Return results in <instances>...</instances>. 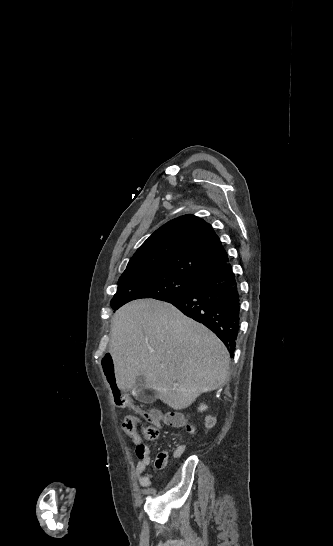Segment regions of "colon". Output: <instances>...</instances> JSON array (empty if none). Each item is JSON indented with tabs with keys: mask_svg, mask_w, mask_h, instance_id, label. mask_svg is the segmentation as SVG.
I'll list each match as a JSON object with an SVG mask.
<instances>
[{
	"mask_svg": "<svg viewBox=\"0 0 333 546\" xmlns=\"http://www.w3.org/2000/svg\"><path fill=\"white\" fill-rule=\"evenodd\" d=\"M102 367L105 375L109 380L110 389L113 392L114 402L117 407L123 409L137 410L142 415L149 416L152 412L140 409L134 399L126 392L117 390L116 380L114 379V359L111 354H106L102 359ZM139 423V419L134 415H128L123 422V428L127 435H134L136 433V427ZM142 436L147 440H154L158 437L159 431L157 426L151 422V424H143L141 426Z\"/></svg>",
	"mask_w": 333,
	"mask_h": 546,
	"instance_id": "5ec220e1",
	"label": "colon"
}]
</instances>
